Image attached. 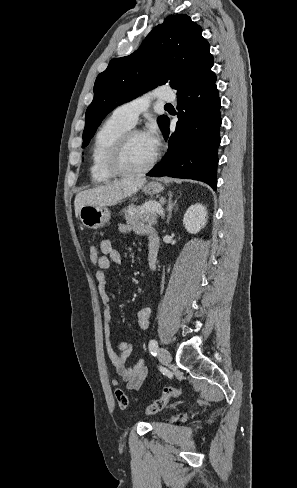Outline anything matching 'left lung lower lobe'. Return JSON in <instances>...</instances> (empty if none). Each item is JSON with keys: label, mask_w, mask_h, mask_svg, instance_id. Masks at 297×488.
Here are the masks:
<instances>
[{"label": "left lung lower lobe", "mask_w": 297, "mask_h": 488, "mask_svg": "<svg viewBox=\"0 0 297 488\" xmlns=\"http://www.w3.org/2000/svg\"><path fill=\"white\" fill-rule=\"evenodd\" d=\"M216 75L211 72L190 90L177 95L178 122L173 133L169 119L163 127L168 139L164 158L148 176L203 181L216 190L217 150L220 144V99Z\"/></svg>", "instance_id": "left-lung-lower-lobe-1"}]
</instances>
